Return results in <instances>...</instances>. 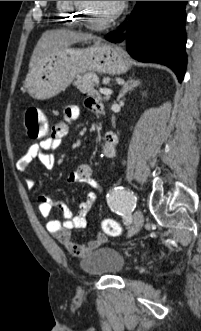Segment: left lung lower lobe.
I'll list each match as a JSON object with an SVG mask.
<instances>
[{"label": "left lung lower lobe", "instance_id": "1", "mask_svg": "<svg viewBox=\"0 0 201 331\" xmlns=\"http://www.w3.org/2000/svg\"><path fill=\"white\" fill-rule=\"evenodd\" d=\"M188 1H137L127 22L106 39L124 40L128 53L141 62H156L171 68L183 80L185 51V5ZM124 31V32H123Z\"/></svg>", "mask_w": 201, "mask_h": 331}]
</instances>
